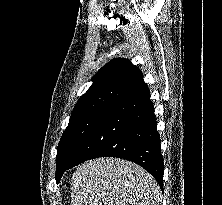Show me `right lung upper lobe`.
Listing matches in <instances>:
<instances>
[{
	"label": "right lung upper lobe",
	"mask_w": 222,
	"mask_h": 205,
	"mask_svg": "<svg viewBox=\"0 0 222 205\" xmlns=\"http://www.w3.org/2000/svg\"><path fill=\"white\" fill-rule=\"evenodd\" d=\"M145 86L138 67L127 59L115 58L96 73L93 84L78 100L71 117L92 110L112 109Z\"/></svg>",
	"instance_id": "1"
}]
</instances>
